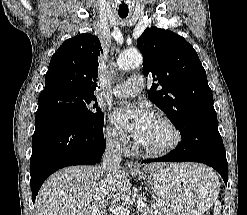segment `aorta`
Returning <instances> with one entry per match:
<instances>
[{"mask_svg":"<svg viewBox=\"0 0 247 215\" xmlns=\"http://www.w3.org/2000/svg\"><path fill=\"white\" fill-rule=\"evenodd\" d=\"M143 58L139 52H124L117 59L119 69L128 70L133 67L140 66Z\"/></svg>","mask_w":247,"mask_h":215,"instance_id":"aorta-1","label":"aorta"}]
</instances>
